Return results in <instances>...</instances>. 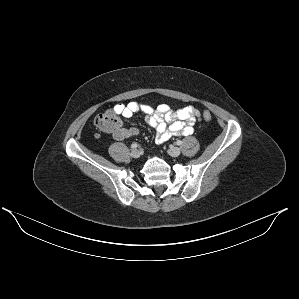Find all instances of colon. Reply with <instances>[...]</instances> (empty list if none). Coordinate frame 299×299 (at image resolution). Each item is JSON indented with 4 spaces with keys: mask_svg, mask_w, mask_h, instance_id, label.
I'll return each instance as SVG.
<instances>
[{
    "mask_svg": "<svg viewBox=\"0 0 299 299\" xmlns=\"http://www.w3.org/2000/svg\"><path fill=\"white\" fill-rule=\"evenodd\" d=\"M202 116L206 121H210L212 118L209 111H204ZM95 125L99 130L104 132H118L121 129L119 113L114 108H109L96 117Z\"/></svg>",
    "mask_w": 299,
    "mask_h": 299,
    "instance_id": "colon-1",
    "label": "colon"
}]
</instances>
